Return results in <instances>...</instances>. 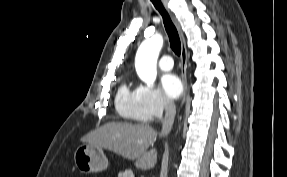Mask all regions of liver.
Segmentation results:
<instances>
[{
  "instance_id": "obj_1",
  "label": "liver",
  "mask_w": 287,
  "mask_h": 177,
  "mask_svg": "<svg viewBox=\"0 0 287 177\" xmlns=\"http://www.w3.org/2000/svg\"><path fill=\"white\" fill-rule=\"evenodd\" d=\"M156 139L157 132L148 124L108 122L88 133L81 141L135 160L137 168L149 170L157 163V150H147Z\"/></svg>"
}]
</instances>
